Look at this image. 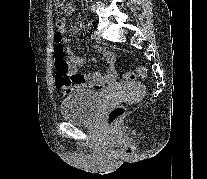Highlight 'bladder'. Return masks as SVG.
<instances>
[{
    "instance_id": "bladder-1",
    "label": "bladder",
    "mask_w": 207,
    "mask_h": 179,
    "mask_svg": "<svg viewBox=\"0 0 207 179\" xmlns=\"http://www.w3.org/2000/svg\"><path fill=\"white\" fill-rule=\"evenodd\" d=\"M100 95L89 89H77L69 92L63 99L61 118L75 125H87L95 121L99 110Z\"/></svg>"
}]
</instances>
